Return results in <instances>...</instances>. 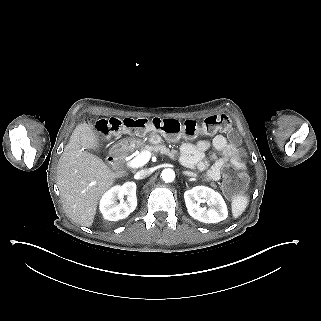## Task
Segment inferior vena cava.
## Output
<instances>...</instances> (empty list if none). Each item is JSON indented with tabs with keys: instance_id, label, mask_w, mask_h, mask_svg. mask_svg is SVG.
I'll list each match as a JSON object with an SVG mask.
<instances>
[{
	"instance_id": "inferior-vena-cava-1",
	"label": "inferior vena cava",
	"mask_w": 321,
	"mask_h": 321,
	"mask_svg": "<svg viewBox=\"0 0 321 321\" xmlns=\"http://www.w3.org/2000/svg\"><path fill=\"white\" fill-rule=\"evenodd\" d=\"M151 175V171L149 169H142L136 173V176H138V179H144Z\"/></svg>"
}]
</instances>
